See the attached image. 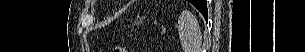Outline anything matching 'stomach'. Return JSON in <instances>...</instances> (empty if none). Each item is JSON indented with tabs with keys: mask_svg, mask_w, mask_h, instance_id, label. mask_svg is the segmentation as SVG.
Instances as JSON below:
<instances>
[{
	"mask_svg": "<svg viewBox=\"0 0 305 52\" xmlns=\"http://www.w3.org/2000/svg\"><path fill=\"white\" fill-rule=\"evenodd\" d=\"M141 20H142V19L138 16V17H137V23H140Z\"/></svg>",
	"mask_w": 305,
	"mask_h": 52,
	"instance_id": "1",
	"label": "stomach"
}]
</instances>
